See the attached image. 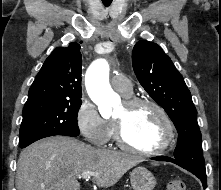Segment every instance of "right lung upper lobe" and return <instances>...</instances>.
<instances>
[{"mask_svg": "<svg viewBox=\"0 0 221 190\" xmlns=\"http://www.w3.org/2000/svg\"><path fill=\"white\" fill-rule=\"evenodd\" d=\"M81 66L78 43L54 49L31 85L25 105L81 100Z\"/></svg>", "mask_w": 221, "mask_h": 190, "instance_id": "cb5924a9", "label": "right lung upper lobe"}]
</instances>
